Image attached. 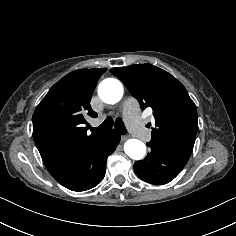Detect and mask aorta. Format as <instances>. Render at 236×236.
Masks as SVG:
<instances>
[{
  "label": "aorta",
  "mask_w": 236,
  "mask_h": 236,
  "mask_svg": "<svg viewBox=\"0 0 236 236\" xmlns=\"http://www.w3.org/2000/svg\"><path fill=\"white\" fill-rule=\"evenodd\" d=\"M98 94L103 102L115 104L123 96V86L114 78L104 79L98 87ZM125 153L133 160H141L146 154V145L138 139H129L124 144Z\"/></svg>",
  "instance_id": "aorta-1"
}]
</instances>
